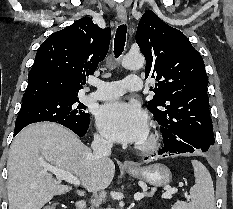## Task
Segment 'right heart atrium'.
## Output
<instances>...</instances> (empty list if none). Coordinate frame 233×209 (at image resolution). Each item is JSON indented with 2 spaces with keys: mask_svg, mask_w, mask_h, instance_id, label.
<instances>
[{
  "mask_svg": "<svg viewBox=\"0 0 233 209\" xmlns=\"http://www.w3.org/2000/svg\"><path fill=\"white\" fill-rule=\"evenodd\" d=\"M95 141L98 143V144H104V145H108L110 144V142L102 135L100 134H97L95 136Z\"/></svg>",
  "mask_w": 233,
  "mask_h": 209,
  "instance_id": "1",
  "label": "right heart atrium"
}]
</instances>
